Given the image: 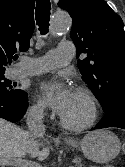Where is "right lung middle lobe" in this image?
Returning a JSON list of instances; mask_svg holds the SVG:
<instances>
[{"instance_id": "obj_1", "label": "right lung middle lobe", "mask_w": 125, "mask_h": 167, "mask_svg": "<svg viewBox=\"0 0 125 167\" xmlns=\"http://www.w3.org/2000/svg\"><path fill=\"white\" fill-rule=\"evenodd\" d=\"M17 84L12 83L4 77V72L0 73V92H3L10 98H16L23 94L24 91L16 89Z\"/></svg>"}]
</instances>
